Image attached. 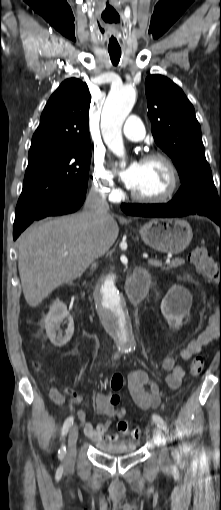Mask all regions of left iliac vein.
I'll return each instance as SVG.
<instances>
[{
    "label": "left iliac vein",
    "instance_id": "4c4485c4",
    "mask_svg": "<svg viewBox=\"0 0 221 510\" xmlns=\"http://www.w3.org/2000/svg\"><path fill=\"white\" fill-rule=\"evenodd\" d=\"M154 439L161 445L160 462L162 465H165L168 460V451L165 446L162 431L159 428H155L154 430Z\"/></svg>",
    "mask_w": 221,
    "mask_h": 510
}]
</instances>
